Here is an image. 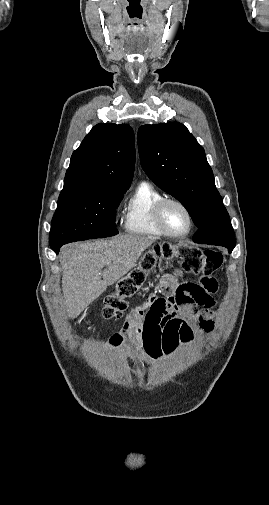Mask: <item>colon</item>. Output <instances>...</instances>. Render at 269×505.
Returning a JSON list of instances; mask_svg holds the SVG:
<instances>
[{
	"label": "colon",
	"instance_id": "obj_1",
	"mask_svg": "<svg viewBox=\"0 0 269 505\" xmlns=\"http://www.w3.org/2000/svg\"><path fill=\"white\" fill-rule=\"evenodd\" d=\"M174 258L179 261L186 274H213L223 263L222 254L215 250H203L186 244L156 246L152 251L144 254L138 267L123 277L119 281L116 291L105 298L103 316L107 320H120L127 307L126 299L143 288L147 274L154 268L157 260ZM165 281L164 277L162 283ZM126 328L127 323L125 322L122 330Z\"/></svg>",
	"mask_w": 269,
	"mask_h": 505
}]
</instances>
